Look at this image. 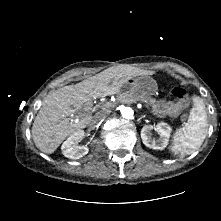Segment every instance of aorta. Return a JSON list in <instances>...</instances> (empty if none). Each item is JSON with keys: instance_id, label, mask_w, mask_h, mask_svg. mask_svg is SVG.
Segmentation results:
<instances>
[{"instance_id": "762f6f07", "label": "aorta", "mask_w": 221, "mask_h": 221, "mask_svg": "<svg viewBox=\"0 0 221 221\" xmlns=\"http://www.w3.org/2000/svg\"><path fill=\"white\" fill-rule=\"evenodd\" d=\"M121 115L125 119H132L133 115H134V111H133V109L131 107H124L121 110Z\"/></svg>"}]
</instances>
